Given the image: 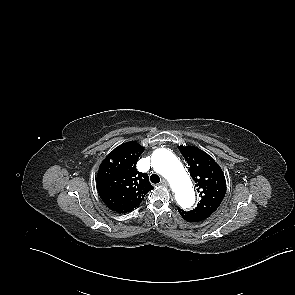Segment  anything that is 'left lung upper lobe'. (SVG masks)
Here are the masks:
<instances>
[{
	"mask_svg": "<svg viewBox=\"0 0 295 295\" xmlns=\"http://www.w3.org/2000/svg\"><path fill=\"white\" fill-rule=\"evenodd\" d=\"M190 166V174L196 183L201 200L190 214L208 218L221 204L226 193V181L220 166L214 159L194 146H179Z\"/></svg>",
	"mask_w": 295,
	"mask_h": 295,
	"instance_id": "obj_1",
	"label": "left lung upper lobe"
}]
</instances>
